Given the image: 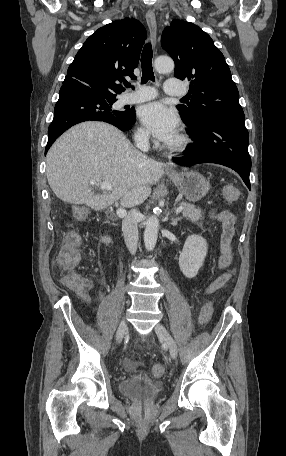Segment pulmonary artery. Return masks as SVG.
Instances as JSON below:
<instances>
[{"label":"pulmonary artery","instance_id":"1","mask_svg":"<svg viewBox=\"0 0 286 456\" xmlns=\"http://www.w3.org/2000/svg\"><path fill=\"white\" fill-rule=\"evenodd\" d=\"M164 92L171 96H184L186 94V90L181 86L180 80L176 77L167 79L164 87ZM156 96L157 91L153 87L139 86V89L136 92L127 94L124 97V103H140L154 99Z\"/></svg>","mask_w":286,"mask_h":456}]
</instances>
